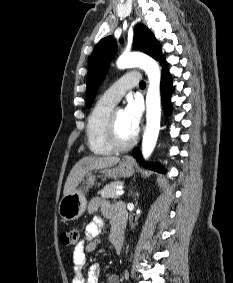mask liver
<instances>
[{
    "mask_svg": "<svg viewBox=\"0 0 233 283\" xmlns=\"http://www.w3.org/2000/svg\"><path fill=\"white\" fill-rule=\"evenodd\" d=\"M120 161L116 156H86L80 159L71 169L63 190L64 196L73 192L84 176L94 169H105L115 166Z\"/></svg>",
    "mask_w": 233,
    "mask_h": 283,
    "instance_id": "obj_1",
    "label": "liver"
}]
</instances>
